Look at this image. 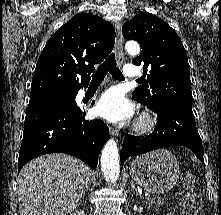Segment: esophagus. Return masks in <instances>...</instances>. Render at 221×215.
<instances>
[{
	"label": "esophagus",
	"instance_id": "1",
	"mask_svg": "<svg viewBox=\"0 0 221 215\" xmlns=\"http://www.w3.org/2000/svg\"><path fill=\"white\" fill-rule=\"evenodd\" d=\"M115 31H116V42H115L116 57L118 64L121 65L124 61V53H123L121 24L119 22L115 23ZM110 134L114 137H119L121 135V132L117 128L110 127Z\"/></svg>",
	"mask_w": 221,
	"mask_h": 215
}]
</instances>
